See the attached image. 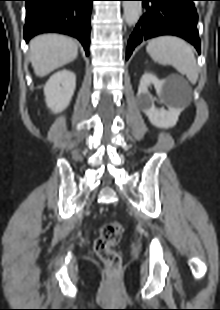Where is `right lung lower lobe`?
Listing matches in <instances>:
<instances>
[{
    "label": "right lung lower lobe",
    "instance_id": "98d812e1",
    "mask_svg": "<svg viewBox=\"0 0 220 310\" xmlns=\"http://www.w3.org/2000/svg\"><path fill=\"white\" fill-rule=\"evenodd\" d=\"M24 38L37 34L63 33L77 38L89 54L90 14L93 0H24Z\"/></svg>",
    "mask_w": 220,
    "mask_h": 310
}]
</instances>
